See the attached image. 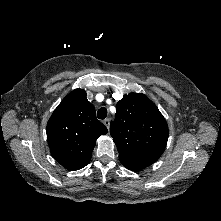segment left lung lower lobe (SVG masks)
Segmentation results:
<instances>
[{
    "instance_id": "0a47b994",
    "label": "left lung lower lobe",
    "mask_w": 221,
    "mask_h": 221,
    "mask_svg": "<svg viewBox=\"0 0 221 221\" xmlns=\"http://www.w3.org/2000/svg\"><path fill=\"white\" fill-rule=\"evenodd\" d=\"M127 169H129V170H133V171H137L136 169H134V168H132L131 166H128V165H125V164H123Z\"/></svg>"
}]
</instances>
